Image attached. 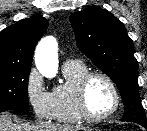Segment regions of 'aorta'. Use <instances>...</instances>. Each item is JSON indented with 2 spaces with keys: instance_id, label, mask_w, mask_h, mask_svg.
Instances as JSON below:
<instances>
[{
  "instance_id": "762f6f07",
  "label": "aorta",
  "mask_w": 147,
  "mask_h": 131,
  "mask_svg": "<svg viewBox=\"0 0 147 131\" xmlns=\"http://www.w3.org/2000/svg\"><path fill=\"white\" fill-rule=\"evenodd\" d=\"M37 70L47 78H53L58 71V48L54 38H43L35 51Z\"/></svg>"
}]
</instances>
